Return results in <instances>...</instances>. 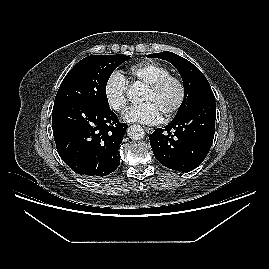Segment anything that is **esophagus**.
I'll use <instances>...</instances> for the list:
<instances>
[{"mask_svg":"<svg viewBox=\"0 0 269 269\" xmlns=\"http://www.w3.org/2000/svg\"><path fill=\"white\" fill-rule=\"evenodd\" d=\"M144 130L146 131V133H148V134H151V133H153L154 132V129L153 128H151V127H144Z\"/></svg>","mask_w":269,"mask_h":269,"instance_id":"1","label":"esophagus"}]
</instances>
